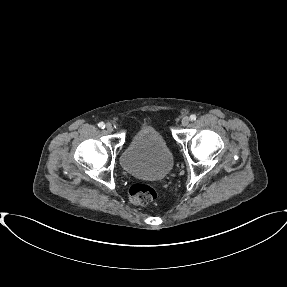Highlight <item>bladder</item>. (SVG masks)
<instances>
[{
  "instance_id": "bladder-1",
  "label": "bladder",
  "mask_w": 287,
  "mask_h": 287,
  "mask_svg": "<svg viewBox=\"0 0 287 287\" xmlns=\"http://www.w3.org/2000/svg\"><path fill=\"white\" fill-rule=\"evenodd\" d=\"M120 161L123 169L133 176L159 180L171 171L174 157L165 140L144 126L134 134Z\"/></svg>"
}]
</instances>
